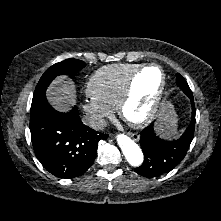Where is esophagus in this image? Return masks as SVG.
I'll return each instance as SVG.
<instances>
[{
    "instance_id": "1",
    "label": "esophagus",
    "mask_w": 221,
    "mask_h": 221,
    "mask_svg": "<svg viewBox=\"0 0 221 221\" xmlns=\"http://www.w3.org/2000/svg\"><path fill=\"white\" fill-rule=\"evenodd\" d=\"M128 135L136 142L139 141V135L135 134V133H128Z\"/></svg>"
}]
</instances>
